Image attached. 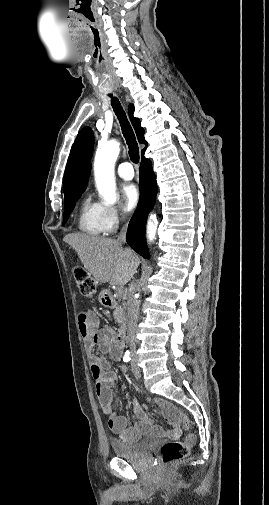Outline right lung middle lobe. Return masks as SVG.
<instances>
[{"mask_svg":"<svg viewBox=\"0 0 269 505\" xmlns=\"http://www.w3.org/2000/svg\"><path fill=\"white\" fill-rule=\"evenodd\" d=\"M83 192L84 191H82L78 194H75L72 197L65 200V211L63 214V224H65L67 222L69 215L75 206V202L80 198V196Z\"/></svg>","mask_w":269,"mask_h":505,"instance_id":"right-lung-middle-lobe-1","label":"right lung middle lobe"}]
</instances>
